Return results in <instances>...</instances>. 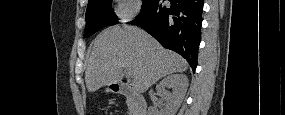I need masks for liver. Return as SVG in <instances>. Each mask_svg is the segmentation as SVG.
Returning <instances> with one entry per match:
<instances>
[{
    "mask_svg": "<svg viewBox=\"0 0 285 115\" xmlns=\"http://www.w3.org/2000/svg\"><path fill=\"white\" fill-rule=\"evenodd\" d=\"M124 68L131 71L133 89L144 93L161 78L186 71L188 64L143 30L112 26L95 39L85 71L87 90L95 92L102 86L119 83Z\"/></svg>",
    "mask_w": 285,
    "mask_h": 115,
    "instance_id": "6515ba94",
    "label": "liver"
}]
</instances>
